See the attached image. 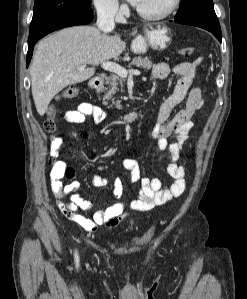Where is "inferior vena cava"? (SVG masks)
<instances>
[{"label":"inferior vena cava","mask_w":247,"mask_h":299,"mask_svg":"<svg viewBox=\"0 0 247 299\" xmlns=\"http://www.w3.org/2000/svg\"><path fill=\"white\" fill-rule=\"evenodd\" d=\"M117 12L116 5H102L97 9V27L103 31L108 32L114 29V17Z\"/></svg>","instance_id":"602c4592"}]
</instances>
